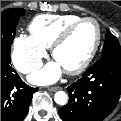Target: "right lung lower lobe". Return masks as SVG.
Instances as JSON below:
<instances>
[{"mask_svg": "<svg viewBox=\"0 0 121 121\" xmlns=\"http://www.w3.org/2000/svg\"><path fill=\"white\" fill-rule=\"evenodd\" d=\"M10 64V55H1V121H22L38 88L20 80Z\"/></svg>", "mask_w": 121, "mask_h": 121, "instance_id": "obj_1", "label": "right lung lower lobe"}]
</instances>
